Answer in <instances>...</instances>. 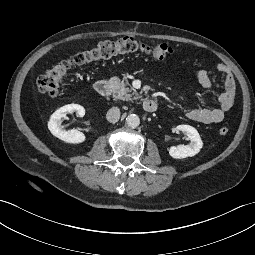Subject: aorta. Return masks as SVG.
<instances>
[{"label": "aorta", "mask_w": 255, "mask_h": 255, "mask_svg": "<svg viewBox=\"0 0 255 255\" xmlns=\"http://www.w3.org/2000/svg\"><path fill=\"white\" fill-rule=\"evenodd\" d=\"M126 123L129 127L136 128L140 124V118L136 114H130L126 118Z\"/></svg>", "instance_id": "1"}]
</instances>
